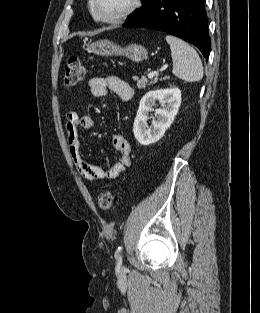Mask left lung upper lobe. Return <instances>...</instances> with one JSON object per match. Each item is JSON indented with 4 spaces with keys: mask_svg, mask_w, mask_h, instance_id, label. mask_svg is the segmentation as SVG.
Instances as JSON below:
<instances>
[{
    "mask_svg": "<svg viewBox=\"0 0 260 313\" xmlns=\"http://www.w3.org/2000/svg\"><path fill=\"white\" fill-rule=\"evenodd\" d=\"M149 1L150 0H142V7L139 10H137V11L133 12L132 14H130L127 17V19L129 20V19L133 18L140 10H142L149 3Z\"/></svg>",
    "mask_w": 260,
    "mask_h": 313,
    "instance_id": "1",
    "label": "left lung upper lobe"
}]
</instances>
